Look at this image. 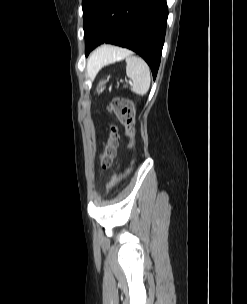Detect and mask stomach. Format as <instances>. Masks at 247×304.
<instances>
[{
  "instance_id": "stomach-1",
  "label": "stomach",
  "mask_w": 247,
  "mask_h": 304,
  "mask_svg": "<svg viewBox=\"0 0 247 304\" xmlns=\"http://www.w3.org/2000/svg\"><path fill=\"white\" fill-rule=\"evenodd\" d=\"M105 82H106V81H100L98 87H99V88H100V87L102 88V86L105 84Z\"/></svg>"
}]
</instances>
